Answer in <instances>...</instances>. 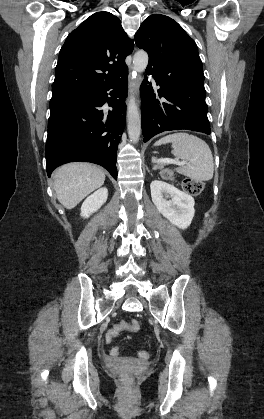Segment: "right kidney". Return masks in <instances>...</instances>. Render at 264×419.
<instances>
[{
  "label": "right kidney",
  "mask_w": 264,
  "mask_h": 419,
  "mask_svg": "<svg viewBox=\"0 0 264 419\" xmlns=\"http://www.w3.org/2000/svg\"><path fill=\"white\" fill-rule=\"evenodd\" d=\"M107 197V188H100L97 191H95L83 202L81 206V216L84 218H88L106 202Z\"/></svg>",
  "instance_id": "obj_1"
}]
</instances>
